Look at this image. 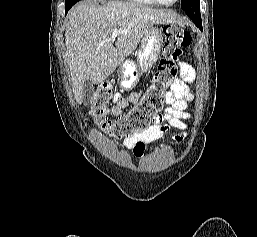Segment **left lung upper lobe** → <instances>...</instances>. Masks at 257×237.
I'll return each instance as SVG.
<instances>
[{
	"label": "left lung upper lobe",
	"instance_id": "obj_1",
	"mask_svg": "<svg viewBox=\"0 0 257 237\" xmlns=\"http://www.w3.org/2000/svg\"><path fill=\"white\" fill-rule=\"evenodd\" d=\"M181 8L186 12V14L190 18L201 17V15H200V0H181Z\"/></svg>",
	"mask_w": 257,
	"mask_h": 237
}]
</instances>
